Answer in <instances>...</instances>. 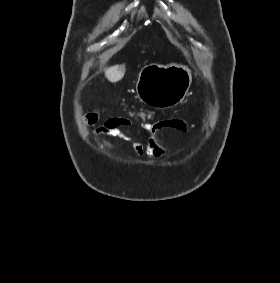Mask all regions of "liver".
<instances>
[{"label":"liver","mask_w":280,"mask_h":283,"mask_svg":"<svg viewBox=\"0 0 280 283\" xmlns=\"http://www.w3.org/2000/svg\"><path fill=\"white\" fill-rule=\"evenodd\" d=\"M124 74L125 65H114L105 70L106 78L112 83L120 81L124 77Z\"/></svg>","instance_id":"obj_1"}]
</instances>
